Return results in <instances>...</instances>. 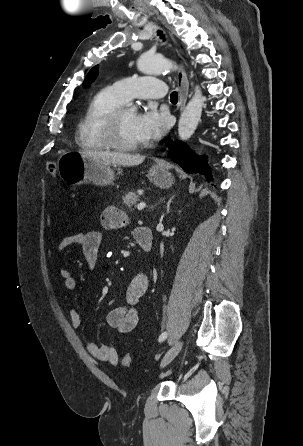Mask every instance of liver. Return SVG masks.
I'll return each instance as SVG.
<instances>
[{
    "mask_svg": "<svg viewBox=\"0 0 303 446\" xmlns=\"http://www.w3.org/2000/svg\"><path fill=\"white\" fill-rule=\"evenodd\" d=\"M80 154L100 163L109 165L136 166L145 160V156L105 151H86Z\"/></svg>",
    "mask_w": 303,
    "mask_h": 446,
    "instance_id": "obj_1",
    "label": "liver"
}]
</instances>
